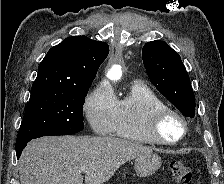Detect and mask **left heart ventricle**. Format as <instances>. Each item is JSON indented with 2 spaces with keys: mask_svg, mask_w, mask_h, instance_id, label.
Segmentation results:
<instances>
[{
  "mask_svg": "<svg viewBox=\"0 0 224 184\" xmlns=\"http://www.w3.org/2000/svg\"><path fill=\"white\" fill-rule=\"evenodd\" d=\"M161 131L164 137L168 139H175L181 135L182 127L177 120L169 118L161 125Z\"/></svg>",
  "mask_w": 224,
  "mask_h": 184,
  "instance_id": "b2bd125f",
  "label": "left heart ventricle"
}]
</instances>
